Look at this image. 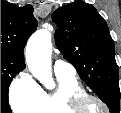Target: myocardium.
Listing matches in <instances>:
<instances>
[{
	"mask_svg": "<svg viewBox=\"0 0 121 113\" xmlns=\"http://www.w3.org/2000/svg\"><path fill=\"white\" fill-rule=\"evenodd\" d=\"M89 102H96L103 108V113H109L110 109L106 101L99 96L91 94H81L75 100V108L81 110H87V104Z\"/></svg>",
	"mask_w": 121,
	"mask_h": 113,
	"instance_id": "obj_1",
	"label": "myocardium"
}]
</instances>
